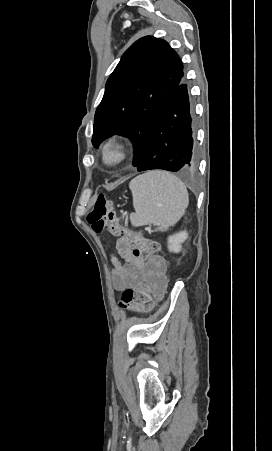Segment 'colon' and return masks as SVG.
<instances>
[{"label":"colon","instance_id":"colon-1","mask_svg":"<svg viewBox=\"0 0 272 451\" xmlns=\"http://www.w3.org/2000/svg\"><path fill=\"white\" fill-rule=\"evenodd\" d=\"M122 215H119L111 200L105 195L98 194L91 211L87 214L86 220L96 233L110 232L115 239H120L126 232L121 223ZM120 250L131 249L132 258H147L148 253L157 252L158 244H148L142 234L128 232V236L120 243ZM156 273L153 277L155 279ZM152 302L151 291L146 287L137 290L133 288L125 289L119 299L120 307L145 312Z\"/></svg>","mask_w":272,"mask_h":451}]
</instances>
